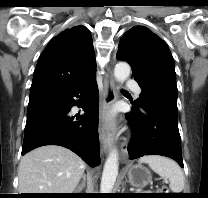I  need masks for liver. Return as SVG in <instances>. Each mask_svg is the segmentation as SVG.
<instances>
[{
  "instance_id": "obj_1",
  "label": "liver",
  "mask_w": 208,
  "mask_h": 198,
  "mask_svg": "<svg viewBox=\"0 0 208 198\" xmlns=\"http://www.w3.org/2000/svg\"><path fill=\"white\" fill-rule=\"evenodd\" d=\"M85 170L84 161L57 145H45L22 157L20 193H73Z\"/></svg>"
}]
</instances>
